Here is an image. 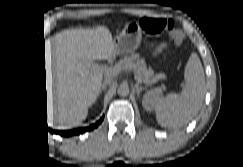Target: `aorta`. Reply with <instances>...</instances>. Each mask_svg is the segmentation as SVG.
Here are the masks:
<instances>
[{
	"label": "aorta",
	"mask_w": 243,
	"mask_h": 167,
	"mask_svg": "<svg viewBox=\"0 0 243 167\" xmlns=\"http://www.w3.org/2000/svg\"><path fill=\"white\" fill-rule=\"evenodd\" d=\"M118 95L120 96H127L129 94V87L127 84H121L119 87H118Z\"/></svg>",
	"instance_id": "aorta-1"
}]
</instances>
